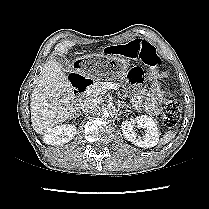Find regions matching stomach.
<instances>
[{
	"mask_svg": "<svg viewBox=\"0 0 209 209\" xmlns=\"http://www.w3.org/2000/svg\"><path fill=\"white\" fill-rule=\"evenodd\" d=\"M72 68L75 73L90 80L111 81L123 78L128 71V64L119 55H90L75 58Z\"/></svg>",
	"mask_w": 209,
	"mask_h": 209,
	"instance_id": "1",
	"label": "stomach"
}]
</instances>
